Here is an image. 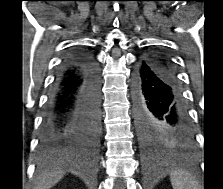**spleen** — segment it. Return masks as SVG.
Listing matches in <instances>:
<instances>
[{"label":"spleen","instance_id":"1","mask_svg":"<svg viewBox=\"0 0 223 189\" xmlns=\"http://www.w3.org/2000/svg\"><path fill=\"white\" fill-rule=\"evenodd\" d=\"M171 183L173 189H195L192 177L182 171L171 174Z\"/></svg>","mask_w":223,"mask_h":189}]
</instances>
